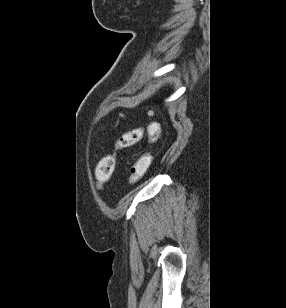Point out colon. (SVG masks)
Instances as JSON below:
<instances>
[{
  "label": "colon",
  "instance_id": "1",
  "mask_svg": "<svg viewBox=\"0 0 286 308\" xmlns=\"http://www.w3.org/2000/svg\"><path fill=\"white\" fill-rule=\"evenodd\" d=\"M145 131L148 133L146 128L138 127L125 132L115 143V150L107 155H105L98 163L96 168V180L100 185L106 184L112 177L115 169L117 154L116 151L119 149H124L131 147L143 138ZM158 131V126L153 127V132ZM153 140H149L152 142ZM152 160V155L149 151L143 152L137 157L131 166L128 183L130 185L139 182L146 174Z\"/></svg>",
  "mask_w": 286,
  "mask_h": 308
}]
</instances>
